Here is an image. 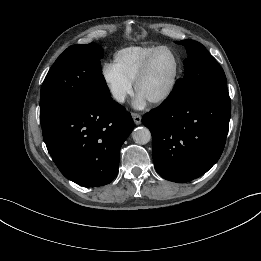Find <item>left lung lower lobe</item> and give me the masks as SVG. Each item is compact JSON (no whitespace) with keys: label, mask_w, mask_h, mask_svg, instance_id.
I'll return each mask as SVG.
<instances>
[{"label":"left lung lower lobe","mask_w":261,"mask_h":261,"mask_svg":"<svg viewBox=\"0 0 261 261\" xmlns=\"http://www.w3.org/2000/svg\"><path fill=\"white\" fill-rule=\"evenodd\" d=\"M230 112L227 86L220 84L202 89L184 102L168 97L146 113L142 123L152 134L156 171L178 183L207 172L224 149Z\"/></svg>","instance_id":"0a47b994"}]
</instances>
